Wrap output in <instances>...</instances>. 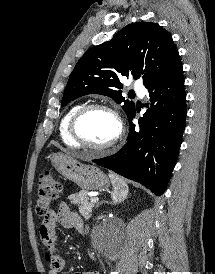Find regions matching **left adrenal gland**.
Here are the masks:
<instances>
[{"instance_id": "obj_1", "label": "left adrenal gland", "mask_w": 215, "mask_h": 274, "mask_svg": "<svg viewBox=\"0 0 215 274\" xmlns=\"http://www.w3.org/2000/svg\"><path fill=\"white\" fill-rule=\"evenodd\" d=\"M102 203H103V202H100L99 204H97V205H96V208H98V207H99V205H101Z\"/></svg>"}]
</instances>
